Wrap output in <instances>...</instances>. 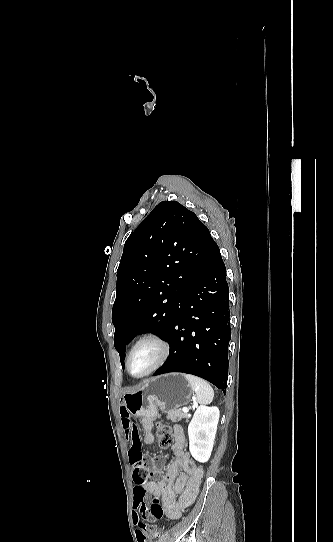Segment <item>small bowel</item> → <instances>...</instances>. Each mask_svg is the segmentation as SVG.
I'll list each match as a JSON object with an SVG mask.
<instances>
[{"mask_svg": "<svg viewBox=\"0 0 333 542\" xmlns=\"http://www.w3.org/2000/svg\"><path fill=\"white\" fill-rule=\"evenodd\" d=\"M122 426L129 442L128 455L131 463L142 458L143 453L139 450L141 446L139 432L136 428V416L131 409L120 410ZM145 433L142 437L144 444H151L154 441L152 433V421H142ZM175 440L171 448L173 459L169 463L165 475L160 481H149L144 483L143 488L150 494L159 498L162 502L165 514L170 519H178L194 503L199 493L202 478L204 476L203 466L192 459L185 451L186 438L181 427H175ZM157 462L165 461L164 453L156 454ZM146 462L153 460L151 453L144 455ZM153 471L157 474L161 469L155 468L151 462ZM138 526L136 523L133 525Z\"/></svg>", "mask_w": 333, "mask_h": 542, "instance_id": "c3829d8e", "label": "small bowel"}]
</instances>
